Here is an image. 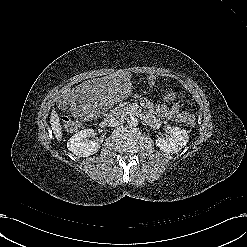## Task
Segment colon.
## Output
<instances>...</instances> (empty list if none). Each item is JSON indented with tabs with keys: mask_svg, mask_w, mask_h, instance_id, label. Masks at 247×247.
<instances>
[{
	"mask_svg": "<svg viewBox=\"0 0 247 247\" xmlns=\"http://www.w3.org/2000/svg\"><path fill=\"white\" fill-rule=\"evenodd\" d=\"M175 96H176L175 92L173 90H170L169 92H167L165 98L175 99ZM186 123L189 126H194L196 123L195 116L192 114H188L186 118ZM81 125H82L81 117L76 116L74 118H69V117L63 118V126L68 131H76L81 127Z\"/></svg>",
	"mask_w": 247,
	"mask_h": 247,
	"instance_id": "colon-1",
	"label": "colon"
}]
</instances>
